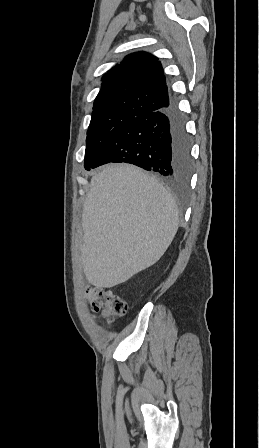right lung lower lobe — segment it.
I'll return each instance as SVG.
<instances>
[{
	"instance_id": "obj_1",
	"label": "right lung lower lobe",
	"mask_w": 259,
	"mask_h": 448,
	"mask_svg": "<svg viewBox=\"0 0 259 448\" xmlns=\"http://www.w3.org/2000/svg\"><path fill=\"white\" fill-rule=\"evenodd\" d=\"M109 162L131 163L156 172L170 184L184 185L191 169L190 139L176 100L171 98L162 109L134 118L90 169Z\"/></svg>"
}]
</instances>
